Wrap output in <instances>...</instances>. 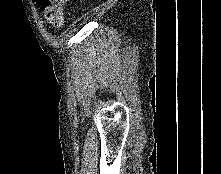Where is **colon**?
<instances>
[{"mask_svg":"<svg viewBox=\"0 0 221 174\" xmlns=\"http://www.w3.org/2000/svg\"><path fill=\"white\" fill-rule=\"evenodd\" d=\"M68 0H35L46 20L53 26L59 27L64 22L63 6Z\"/></svg>","mask_w":221,"mask_h":174,"instance_id":"5ec220e1","label":"colon"}]
</instances>
